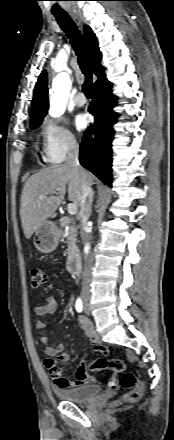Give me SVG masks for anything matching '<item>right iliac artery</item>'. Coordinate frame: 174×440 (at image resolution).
<instances>
[{
  "label": "right iliac artery",
  "instance_id": "82829eb1",
  "mask_svg": "<svg viewBox=\"0 0 174 440\" xmlns=\"http://www.w3.org/2000/svg\"><path fill=\"white\" fill-rule=\"evenodd\" d=\"M75 307L78 312H82L83 305H82V301L80 298L77 299Z\"/></svg>",
  "mask_w": 174,
  "mask_h": 440
}]
</instances>
